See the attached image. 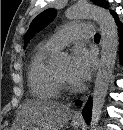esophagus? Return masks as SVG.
<instances>
[{
	"instance_id": "34e87169",
	"label": "esophagus",
	"mask_w": 123,
	"mask_h": 130,
	"mask_svg": "<svg viewBox=\"0 0 123 130\" xmlns=\"http://www.w3.org/2000/svg\"><path fill=\"white\" fill-rule=\"evenodd\" d=\"M86 100H87V97H86V98L84 99V101H83V106H84ZM81 110H82V109H81ZM81 110L77 111V112L74 114V118H76V119H81V118H82Z\"/></svg>"
}]
</instances>
